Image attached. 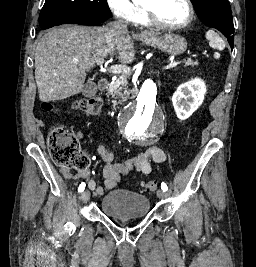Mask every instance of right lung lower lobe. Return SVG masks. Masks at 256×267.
Returning <instances> with one entry per match:
<instances>
[{"label": "right lung lower lobe", "mask_w": 256, "mask_h": 267, "mask_svg": "<svg viewBox=\"0 0 256 267\" xmlns=\"http://www.w3.org/2000/svg\"><path fill=\"white\" fill-rule=\"evenodd\" d=\"M103 21H105V20L90 19V18H73V19L60 20V21H58L56 23L49 24V25L46 26V29L50 28L52 26H55V25H60V24H80V25L95 26V25L100 24Z\"/></svg>", "instance_id": "98d812e1"}]
</instances>
